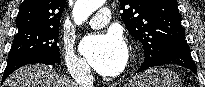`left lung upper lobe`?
<instances>
[{"label": "left lung upper lobe", "mask_w": 205, "mask_h": 87, "mask_svg": "<svg viewBox=\"0 0 205 87\" xmlns=\"http://www.w3.org/2000/svg\"><path fill=\"white\" fill-rule=\"evenodd\" d=\"M121 19L144 47V63H155L172 44L185 40L176 0H120Z\"/></svg>", "instance_id": "obj_1"}]
</instances>
